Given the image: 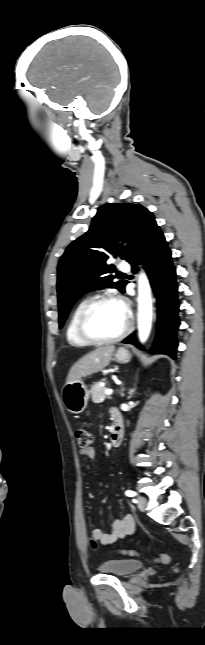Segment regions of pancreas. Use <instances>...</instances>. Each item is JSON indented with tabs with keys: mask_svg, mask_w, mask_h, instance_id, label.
I'll return each mask as SVG.
<instances>
[{
	"mask_svg": "<svg viewBox=\"0 0 205 645\" xmlns=\"http://www.w3.org/2000/svg\"><path fill=\"white\" fill-rule=\"evenodd\" d=\"M105 386H100V382L95 383L91 388L92 400L95 403H100L105 399Z\"/></svg>",
	"mask_w": 205,
	"mask_h": 645,
	"instance_id": "obj_1",
	"label": "pancreas"
}]
</instances>
